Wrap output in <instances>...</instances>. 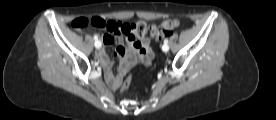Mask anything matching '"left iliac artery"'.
I'll use <instances>...</instances> for the list:
<instances>
[{"label":"left iliac artery","mask_w":276,"mask_h":120,"mask_svg":"<svg viewBox=\"0 0 276 120\" xmlns=\"http://www.w3.org/2000/svg\"><path fill=\"white\" fill-rule=\"evenodd\" d=\"M168 44V39H165L164 40V45H167Z\"/></svg>","instance_id":"44dca946"}]
</instances>
